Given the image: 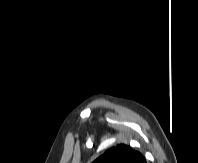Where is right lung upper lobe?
<instances>
[{
    "mask_svg": "<svg viewBox=\"0 0 198 163\" xmlns=\"http://www.w3.org/2000/svg\"><path fill=\"white\" fill-rule=\"evenodd\" d=\"M92 163H147L144 156L130 146L120 144L108 149Z\"/></svg>",
    "mask_w": 198,
    "mask_h": 163,
    "instance_id": "right-lung-upper-lobe-1",
    "label": "right lung upper lobe"
}]
</instances>
